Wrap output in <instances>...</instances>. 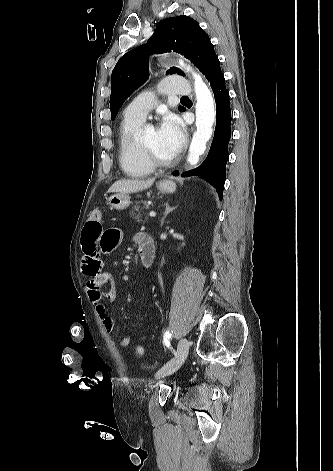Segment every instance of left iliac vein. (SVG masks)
<instances>
[{"instance_id": "4c4485c4", "label": "left iliac vein", "mask_w": 333, "mask_h": 471, "mask_svg": "<svg viewBox=\"0 0 333 471\" xmlns=\"http://www.w3.org/2000/svg\"><path fill=\"white\" fill-rule=\"evenodd\" d=\"M188 351H189V342H188V340L185 339V338L180 339V341L178 343V347H177V357H176V366L177 367H179L180 365H182L184 363V361L187 358ZM174 370L175 369L169 370V371H163V372L159 373L156 376V378L157 379L164 378L165 376L171 374Z\"/></svg>"}]
</instances>
